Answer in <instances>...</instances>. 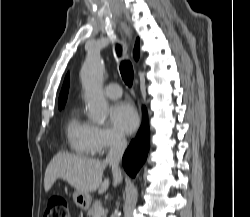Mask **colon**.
Segmentation results:
<instances>
[{
    "instance_id": "obj_1",
    "label": "colon",
    "mask_w": 250,
    "mask_h": 217,
    "mask_svg": "<svg viewBox=\"0 0 250 217\" xmlns=\"http://www.w3.org/2000/svg\"><path fill=\"white\" fill-rule=\"evenodd\" d=\"M44 217H70L67 200L60 195L50 197Z\"/></svg>"
}]
</instances>
